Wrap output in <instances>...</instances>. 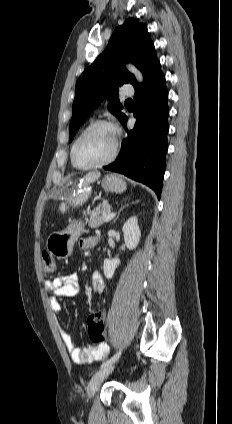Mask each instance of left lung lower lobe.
Masks as SVG:
<instances>
[{"label":"left lung lower lobe","instance_id":"left-lung-lower-lobe-1","mask_svg":"<svg viewBox=\"0 0 232 424\" xmlns=\"http://www.w3.org/2000/svg\"><path fill=\"white\" fill-rule=\"evenodd\" d=\"M168 91L156 64L143 84L135 87L136 123L123 140L118 158L105 170L124 174L152 188L160 199L168 149ZM127 117L121 123L126 129Z\"/></svg>","mask_w":232,"mask_h":424}]
</instances>
